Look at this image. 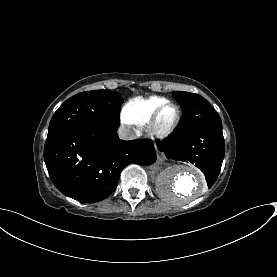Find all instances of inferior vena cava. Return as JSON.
I'll return each instance as SVG.
<instances>
[{
    "mask_svg": "<svg viewBox=\"0 0 277 277\" xmlns=\"http://www.w3.org/2000/svg\"><path fill=\"white\" fill-rule=\"evenodd\" d=\"M118 136L121 140H133L136 138L135 132L126 126L119 127Z\"/></svg>",
    "mask_w": 277,
    "mask_h": 277,
    "instance_id": "obj_1",
    "label": "inferior vena cava"
}]
</instances>
